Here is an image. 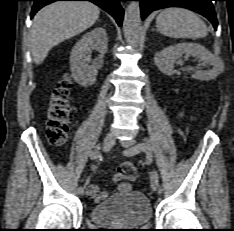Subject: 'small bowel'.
<instances>
[{
	"label": "small bowel",
	"mask_w": 234,
	"mask_h": 231,
	"mask_svg": "<svg viewBox=\"0 0 234 231\" xmlns=\"http://www.w3.org/2000/svg\"><path fill=\"white\" fill-rule=\"evenodd\" d=\"M132 189V184L128 181L120 182L118 185V191L121 193H128ZM87 193L90 198L95 202H100L104 197V193H99L96 185L90 184L87 187Z\"/></svg>",
	"instance_id": "obj_1"
}]
</instances>
